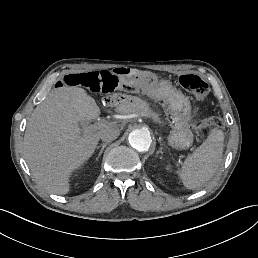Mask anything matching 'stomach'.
Here are the masks:
<instances>
[{"label":"stomach","mask_w":258,"mask_h":258,"mask_svg":"<svg viewBox=\"0 0 258 258\" xmlns=\"http://www.w3.org/2000/svg\"><path fill=\"white\" fill-rule=\"evenodd\" d=\"M134 77L141 89H145L146 85L148 86L146 91L148 95L156 99H164L167 103L172 113L173 121L175 122V129L169 136V143L175 147H189L193 141V135L188 122L190 113L188 99L181 92L172 88L168 81L157 82L156 78L142 73H136ZM153 80L157 82V87H152Z\"/></svg>","instance_id":"0dacf381"}]
</instances>
